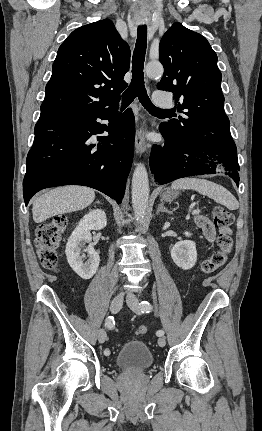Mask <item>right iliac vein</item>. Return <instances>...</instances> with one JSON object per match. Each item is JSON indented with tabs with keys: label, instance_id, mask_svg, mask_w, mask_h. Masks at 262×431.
<instances>
[{
	"label": "right iliac vein",
	"instance_id": "1",
	"mask_svg": "<svg viewBox=\"0 0 262 431\" xmlns=\"http://www.w3.org/2000/svg\"><path fill=\"white\" fill-rule=\"evenodd\" d=\"M123 300H124V294L123 293L116 295L112 299L111 304H110V310L112 313H117L120 310V308L123 304ZM106 339H107L106 331L104 329H100L99 333H98L99 342L104 343L106 341Z\"/></svg>",
	"mask_w": 262,
	"mask_h": 431
}]
</instances>
